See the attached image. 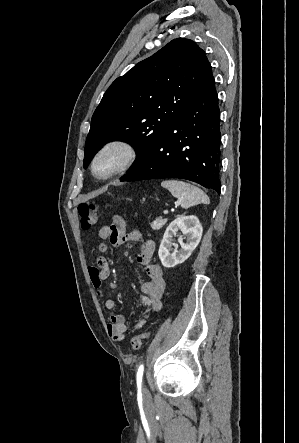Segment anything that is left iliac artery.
<instances>
[{
    "label": "left iliac artery",
    "mask_w": 299,
    "mask_h": 443,
    "mask_svg": "<svg viewBox=\"0 0 299 443\" xmlns=\"http://www.w3.org/2000/svg\"><path fill=\"white\" fill-rule=\"evenodd\" d=\"M143 371H144V365L141 364L138 368L137 374H136V380H137V387L139 390H141L142 387V377H143Z\"/></svg>",
    "instance_id": "obj_1"
}]
</instances>
